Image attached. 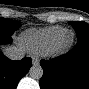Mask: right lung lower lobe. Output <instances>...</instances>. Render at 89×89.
I'll return each mask as SVG.
<instances>
[{
    "mask_svg": "<svg viewBox=\"0 0 89 89\" xmlns=\"http://www.w3.org/2000/svg\"><path fill=\"white\" fill-rule=\"evenodd\" d=\"M11 41V36L0 37V44L11 43ZM31 66V58L25 57L22 60L13 61L0 52V88L15 89Z\"/></svg>",
    "mask_w": 89,
    "mask_h": 89,
    "instance_id": "right-lung-lower-lobe-1",
    "label": "right lung lower lobe"
}]
</instances>
